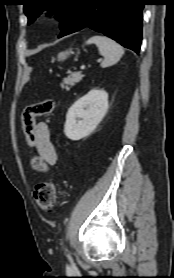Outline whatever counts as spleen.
<instances>
[{"label":"spleen","instance_id":"3e777b00","mask_svg":"<svg viewBox=\"0 0 174 278\" xmlns=\"http://www.w3.org/2000/svg\"><path fill=\"white\" fill-rule=\"evenodd\" d=\"M86 44H95L98 47L99 53L104 57L101 67H109L117 63L122 55L124 49L116 41L103 35H95L91 37Z\"/></svg>","mask_w":174,"mask_h":278}]
</instances>
